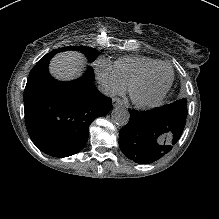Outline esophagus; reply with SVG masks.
<instances>
[{"label": "esophagus", "instance_id": "1", "mask_svg": "<svg viewBox=\"0 0 219 219\" xmlns=\"http://www.w3.org/2000/svg\"><path fill=\"white\" fill-rule=\"evenodd\" d=\"M119 104H122L121 99H119V98H113V99H112V105H113V107H115V106H117V105H119Z\"/></svg>", "mask_w": 219, "mask_h": 219}]
</instances>
